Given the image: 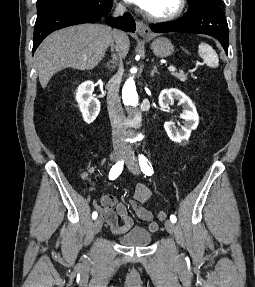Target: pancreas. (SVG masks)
<instances>
[{"label":"pancreas","mask_w":255,"mask_h":287,"mask_svg":"<svg viewBox=\"0 0 255 287\" xmlns=\"http://www.w3.org/2000/svg\"><path fill=\"white\" fill-rule=\"evenodd\" d=\"M172 76H175V78H178L180 82H185V80H187L186 78L187 74H185L183 70H180V72H173Z\"/></svg>","instance_id":"1"}]
</instances>
